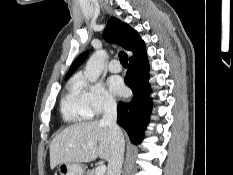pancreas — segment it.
Instances as JSON below:
<instances>
[{"mask_svg":"<svg viewBox=\"0 0 233 175\" xmlns=\"http://www.w3.org/2000/svg\"><path fill=\"white\" fill-rule=\"evenodd\" d=\"M87 175H96L95 169L88 170Z\"/></svg>","mask_w":233,"mask_h":175,"instance_id":"obj_1","label":"pancreas"}]
</instances>
